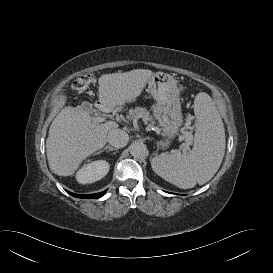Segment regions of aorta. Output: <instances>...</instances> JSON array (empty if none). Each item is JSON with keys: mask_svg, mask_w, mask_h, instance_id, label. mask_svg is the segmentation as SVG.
Listing matches in <instances>:
<instances>
[{"mask_svg": "<svg viewBox=\"0 0 273 273\" xmlns=\"http://www.w3.org/2000/svg\"><path fill=\"white\" fill-rule=\"evenodd\" d=\"M130 153L135 158H142L147 153V147L144 143L135 141L130 145Z\"/></svg>", "mask_w": 273, "mask_h": 273, "instance_id": "aorta-1", "label": "aorta"}]
</instances>
